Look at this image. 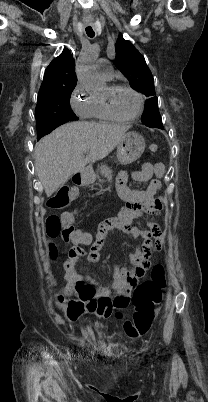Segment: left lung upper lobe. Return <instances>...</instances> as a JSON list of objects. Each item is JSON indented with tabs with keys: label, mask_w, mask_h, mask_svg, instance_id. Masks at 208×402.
Wrapping results in <instances>:
<instances>
[{
	"label": "left lung upper lobe",
	"mask_w": 208,
	"mask_h": 402,
	"mask_svg": "<svg viewBox=\"0 0 208 402\" xmlns=\"http://www.w3.org/2000/svg\"><path fill=\"white\" fill-rule=\"evenodd\" d=\"M116 66L127 77L133 88L148 97L143 123L148 127L163 129L158 109V99L154 89V79L142 54L122 35L116 43Z\"/></svg>",
	"instance_id": "left-lung-upper-lobe-1"
}]
</instances>
